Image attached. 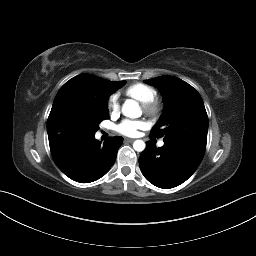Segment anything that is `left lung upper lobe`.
<instances>
[{
  "label": "left lung upper lobe",
  "mask_w": 256,
  "mask_h": 256,
  "mask_svg": "<svg viewBox=\"0 0 256 256\" xmlns=\"http://www.w3.org/2000/svg\"><path fill=\"white\" fill-rule=\"evenodd\" d=\"M144 82L159 88L165 103V110L152 128L150 137L164 136V144L203 156L208 117L200 94L191 85L173 76H160Z\"/></svg>",
  "instance_id": "left-lung-upper-lobe-1"
}]
</instances>
